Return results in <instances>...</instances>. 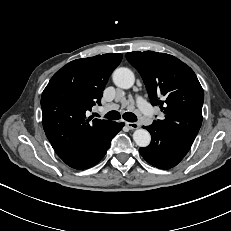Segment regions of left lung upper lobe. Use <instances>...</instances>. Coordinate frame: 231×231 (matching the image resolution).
I'll return each instance as SVG.
<instances>
[{"label":"left lung upper lobe","instance_id":"5c2ea615","mask_svg":"<svg viewBox=\"0 0 231 231\" xmlns=\"http://www.w3.org/2000/svg\"><path fill=\"white\" fill-rule=\"evenodd\" d=\"M126 58L141 74L152 105H159L164 114L153 124L192 145L201 127L204 101L193 70L165 53L129 52Z\"/></svg>","mask_w":231,"mask_h":231}]
</instances>
